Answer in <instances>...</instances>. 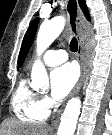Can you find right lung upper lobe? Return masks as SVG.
<instances>
[{"label": "right lung upper lobe", "mask_w": 112, "mask_h": 135, "mask_svg": "<svg viewBox=\"0 0 112 135\" xmlns=\"http://www.w3.org/2000/svg\"><path fill=\"white\" fill-rule=\"evenodd\" d=\"M78 2H79V5H80L81 9H82L83 12H84V14L86 15V18H87L88 20H90V16H89V14H88V10H87V6H86V4H85V1H84V0H78Z\"/></svg>", "instance_id": "1"}]
</instances>
